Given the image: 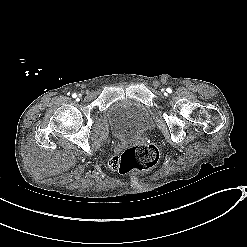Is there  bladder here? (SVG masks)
I'll list each match as a JSON object with an SVG mask.
<instances>
[{"label": "bladder", "instance_id": "1", "mask_svg": "<svg viewBox=\"0 0 247 247\" xmlns=\"http://www.w3.org/2000/svg\"><path fill=\"white\" fill-rule=\"evenodd\" d=\"M105 113L114 137L122 142L140 140L152 129L150 107L132 97L114 100Z\"/></svg>", "mask_w": 247, "mask_h": 247}]
</instances>
